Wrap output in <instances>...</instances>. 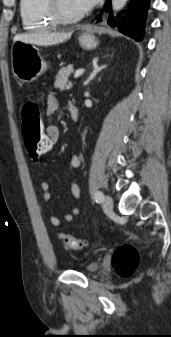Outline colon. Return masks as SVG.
<instances>
[{
    "label": "colon",
    "instance_id": "1",
    "mask_svg": "<svg viewBox=\"0 0 171 337\" xmlns=\"http://www.w3.org/2000/svg\"><path fill=\"white\" fill-rule=\"evenodd\" d=\"M21 117V131L27 154L31 160L37 161L47 151L51 150L52 140H48L43 133L39 106L33 99L24 103ZM58 237L61 243L69 249L79 250L86 245L84 240L66 233H60ZM139 259L140 255L137 248L132 244L125 243L115 249L112 256V266L118 275L128 278L134 274Z\"/></svg>",
    "mask_w": 171,
    "mask_h": 337
}]
</instances>
